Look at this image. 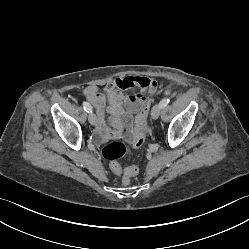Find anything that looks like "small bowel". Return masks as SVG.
I'll list each match as a JSON object with an SVG mask.
<instances>
[{
	"mask_svg": "<svg viewBox=\"0 0 249 249\" xmlns=\"http://www.w3.org/2000/svg\"><path fill=\"white\" fill-rule=\"evenodd\" d=\"M155 84L153 80L147 77L127 76L116 78L113 82L107 84L104 87V93H100L94 85L85 87L83 94L96 110L98 139L103 141L123 135L129 141H132L133 132L130 126L131 115L129 110L137 111L149 107L151 97L156 90ZM132 87L140 88L141 93L129 96L124 92ZM106 100L108 101L107 107ZM107 114L110 115L109 121L106 118Z\"/></svg>",
	"mask_w": 249,
	"mask_h": 249,
	"instance_id": "1",
	"label": "small bowel"
}]
</instances>
